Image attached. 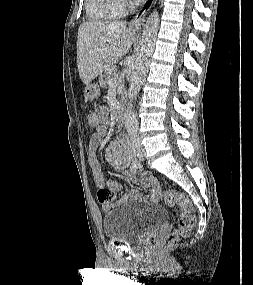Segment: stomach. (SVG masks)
Wrapping results in <instances>:
<instances>
[{
    "label": "stomach",
    "mask_w": 253,
    "mask_h": 285,
    "mask_svg": "<svg viewBox=\"0 0 253 285\" xmlns=\"http://www.w3.org/2000/svg\"><path fill=\"white\" fill-rule=\"evenodd\" d=\"M85 97L90 100H94L100 95L99 85L96 83H89L85 88Z\"/></svg>",
    "instance_id": "0dacf381"
}]
</instances>
